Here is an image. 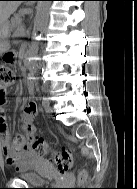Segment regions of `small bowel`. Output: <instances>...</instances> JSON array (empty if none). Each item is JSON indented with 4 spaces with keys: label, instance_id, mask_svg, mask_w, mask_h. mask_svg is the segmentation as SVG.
Wrapping results in <instances>:
<instances>
[{
    "label": "small bowel",
    "instance_id": "obj_1",
    "mask_svg": "<svg viewBox=\"0 0 137 189\" xmlns=\"http://www.w3.org/2000/svg\"><path fill=\"white\" fill-rule=\"evenodd\" d=\"M29 93L34 91V81L30 80L27 83ZM6 97H0V143L5 155L7 164L13 166L17 171H21L26 166L30 165L36 159L28 147L29 138L35 133L34 114H28L26 108L23 112L24 135H17L11 139L9 127L6 121L4 105Z\"/></svg>",
    "mask_w": 137,
    "mask_h": 189
}]
</instances>
